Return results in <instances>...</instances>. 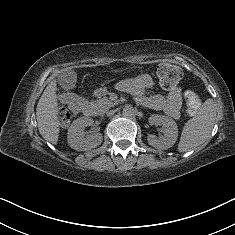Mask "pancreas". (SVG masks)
Listing matches in <instances>:
<instances>
[{
  "label": "pancreas",
  "mask_w": 235,
  "mask_h": 235,
  "mask_svg": "<svg viewBox=\"0 0 235 235\" xmlns=\"http://www.w3.org/2000/svg\"><path fill=\"white\" fill-rule=\"evenodd\" d=\"M109 100L108 99H102L101 100V104H105V103H107Z\"/></svg>",
  "instance_id": "obj_1"
}]
</instances>
